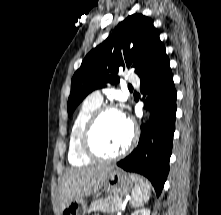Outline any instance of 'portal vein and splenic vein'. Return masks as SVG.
Segmentation results:
<instances>
[{
  "mask_svg": "<svg viewBox=\"0 0 221 215\" xmlns=\"http://www.w3.org/2000/svg\"><path fill=\"white\" fill-rule=\"evenodd\" d=\"M120 202H121V206H122V199L121 200H119Z\"/></svg>",
  "mask_w": 221,
  "mask_h": 215,
  "instance_id": "18ae733b",
  "label": "portal vein and splenic vein"
}]
</instances>
